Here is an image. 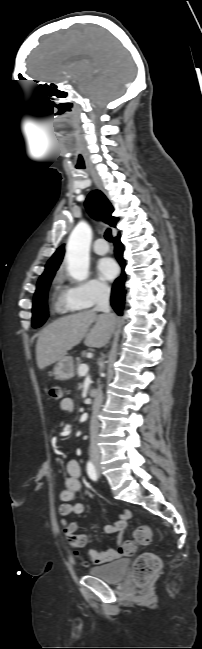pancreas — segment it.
Wrapping results in <instances>:
<instances>
[{
  "label": "pancreas",
  "instance_id": "1",
  "mask_svg": "<svg viewBox=\"0 0 202 649\" xmlns=\"http://www.w3.org/2000/svg\"><path fill=\"white\" fill-rule=\"evenodd\" d=\"M81 365H83V364L79 361L78 364H77V375H80V374H79V367H80Z\"/></svg>",
  "mask_w": 202,
  "mask_h": 649
}]
</instances>
